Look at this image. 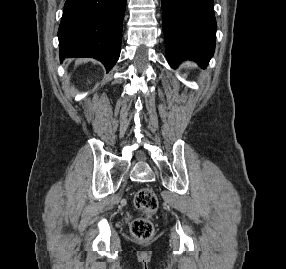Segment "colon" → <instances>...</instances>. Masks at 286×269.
<instances>
[{"mask_svg":"<svg viewBox=\"0 0 286 269\" xmlns=\"http://www.w3.org/2000/svg\"><path fill=\"white\" fill-rule=\"evenodd\" d=\"M134 203L144 215L133 220L131 233L136 239L148 240L154 234V226L150 216L158 208V198L150 188H141L134 196Z\"/></svg>","mask_w":286,"mask_h":269,"instance_id":"5ec220e1","label":"colon"}]
</instances>
